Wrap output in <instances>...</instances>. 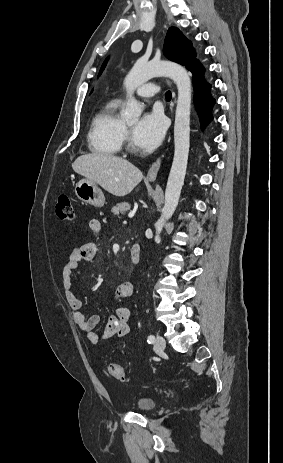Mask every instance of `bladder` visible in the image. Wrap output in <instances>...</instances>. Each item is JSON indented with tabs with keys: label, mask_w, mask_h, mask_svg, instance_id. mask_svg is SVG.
I'll use <instances>...</instances> for the list:
<instances>
[{
	"label": "bladder",
	"mask_w": 283,
	"mask_h": 463,
	"mask_svg": "<svg viewBox=\"0 0 283 463\" xmlns=\"http://www.w3.org/2000/svg\"><path fill=\"white\" fill-rule=\"evenodd\" d=\"M135 405L137 407L138 412L149 413L155 408L156 403L151 398L143 397V398L138 399Z\"/></svg>",
	"instance_id": "31cf9c89"
}]
</instances>
